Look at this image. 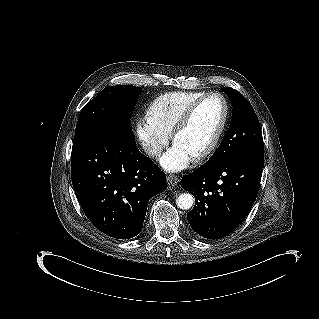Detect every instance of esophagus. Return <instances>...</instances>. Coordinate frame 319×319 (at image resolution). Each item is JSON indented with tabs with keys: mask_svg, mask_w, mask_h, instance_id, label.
Wrapping results in <instances>:
<instances>
[{
	"mask_svg": "<svg viewBox=\"0 0 319 319\" xmlns=\"http://www.w3.org/2000/svg\"><path fill=\"white\" fill-rule=\"evenodd\" d=\"M166 179H167V184L169 186H175V185H177V183L179 181L178 177L176 175H174V174L168 175L166 177Z\"/></svg>",
	"mask_w": 319,
	"mask_h": 319,
	"instance_id": "esophagus-1",
	"label": "esophagus"
}]
</instances>
